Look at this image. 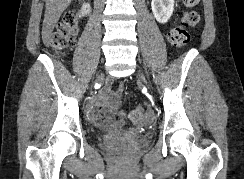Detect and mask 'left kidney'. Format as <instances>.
Masks as SVG:
<instances>
[{
	"instance_id": "left-kidney-1",
	"label": "left kidney",
	"mask_w": 244,
	"mask_h": 179,
	"mask_svg": "<svg viewBox=\"0 0 244 179\" xmlns=\"http://www.w3.org/2000/svg\"><path fill=\"white\" fill-rule=\"evenodd\" d=\"M152 12L160 24H166L174 12V0H152Z\"/></svg>"
}]
</instances>
